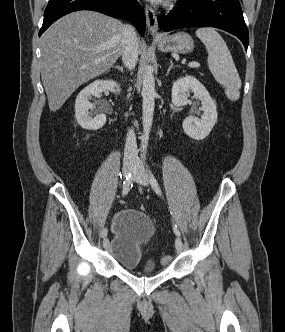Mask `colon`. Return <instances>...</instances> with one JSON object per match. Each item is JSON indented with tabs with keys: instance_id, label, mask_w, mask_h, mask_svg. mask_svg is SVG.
<instances>
[{
	"instance_id": "5ec220e1",
	"label": "colon",
	"mask_w": 285,
	"mask_h": 332,
	"mask_svg": "<svg viewBox=\"0 0 285 332\" xmlns=\"http://www.w3.org/2000/svg\"><path fill=\"white\" fill-rule=\"evenodd\" d=\"M170 260H171V257H170L169 255H165V256L162 258L161 262L164 263V264H167V263L170 262Z\"/></svg>"
}]
</instances>
